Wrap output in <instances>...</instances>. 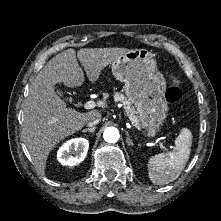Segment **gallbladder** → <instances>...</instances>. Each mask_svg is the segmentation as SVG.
<instances>
[{
    "label": "gallbladder",
    "mask_w": 221,
    "mask_h": 221,
    "mask_svg": "<svg viewBox=\"0 0 221 221\" xmlns=\"http://www.w3.org/2000/svg\"><path fill=\"white\" fill-rule=\"evenodd\" d=\"M57 93H58L60 96H63L62 93H61L60 91H58V90H57Z\"/></svg>",
    "instance_id": "bac80fb5"
}]
</instances>
